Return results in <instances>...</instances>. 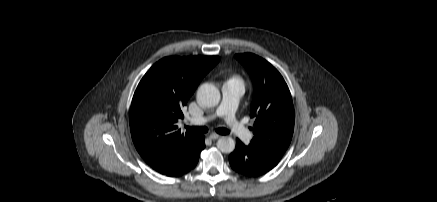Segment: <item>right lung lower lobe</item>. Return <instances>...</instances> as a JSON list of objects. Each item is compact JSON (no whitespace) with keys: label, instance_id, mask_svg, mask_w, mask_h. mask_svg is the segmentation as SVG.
I'll return each mask as SVG.
<instances>
[{"label":"right lung lower lobe","instance_id":"98d812e1","mask_svg":"<svg viewBox=\"0 0 437 202\" xmlns=\"http://www.w3.org/2000/svg\"><path fill=\"white\" fill-rule=\"evenodd\" d=\"M204 136L200 135L186 155L168 169L160 172L163 175L178 177L192 170L198 163L200 152L205 148Z\"/></svg>","mask_w":437,"mask_h":202}]
</instances>
